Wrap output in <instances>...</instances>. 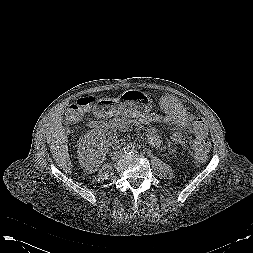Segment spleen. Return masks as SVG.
I'll use <instances>...</instances> for the list:
<instances>
[{
	"label": "spleen",
	"instance_id": "1",
	"mask_svg": "<svg viewBox=\"0 0 253 253\" xmlns=\"http://www.w3.org/2000/svg\"><path fill=\"white\" fill-rule=\"evenodd\" d=\"M162 120L171 135L181 145L182 161L190 166L203 164L207 158V149L200 142L203 137V127L190 108L181 101L169 102L163 108Z\"/></svg>",
	"mask_w": 253,
	"mask_h": 253
}]
</instances>
